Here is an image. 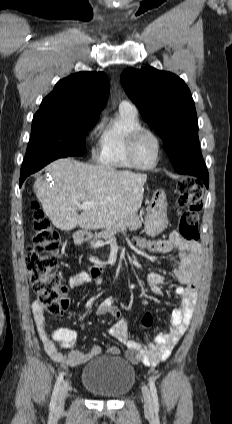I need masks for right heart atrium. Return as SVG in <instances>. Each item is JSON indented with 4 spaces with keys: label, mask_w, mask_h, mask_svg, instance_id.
Listing matches in <instances>:
<instances>
[{
    "label": "right heart atrium",
    "mask_w": 232,
    "mask_h": 424,
    "mask_svg": "<svg viewBox=\"0 0 232 424\" xmlns=\"http://www.w3.org/2000/svg\"><path fill=\"white\" fill-rule=\"evenodd\" d=\"M90 140H91V152H92V154H94L95 151H96V146L94 144V134L93 133L90 134Z\"/></svg>",
    "instance_id": "obj_1"
}]
</instances>
